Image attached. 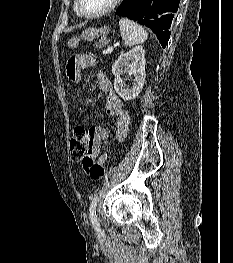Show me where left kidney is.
<instances>
[{
	"mask_svg": "<svg viewBox=\"0 0 233 263\" xmlns=\"http://www.w3.org/2000/svg\"><path fill=\"white\" fill-rule=\"evenodd\" d=\"M115 76L114 89L125 101L134 99L141 92L145 81V50L136 46L129 52L121 54L112 67ZM133 76V87L125 85L121 75Z\"/></svg>",
	"mask_w": 233,
	"mask_h": 263,
	"instance_id": "left-kidney-1",
	"label": "left kidney"
}]
</instances>
